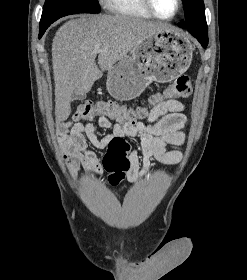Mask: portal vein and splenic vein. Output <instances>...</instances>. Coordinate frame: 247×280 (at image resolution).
<instances>
[{"instance_id": "obj_1", "label": "portal vein and splenic vein", "mask_w": 247, "mask_h": 280, "mask_svg": "<svg viewBox=\"0 0 247 280\" xmlns=\"http://www.w3.org/2000/svg\"><path fill=\"white\" fill-rule=\"evenodd\" d=\"M95 51H100V47L99 46L95 47Z\"/></svg>"}]
</instances>
